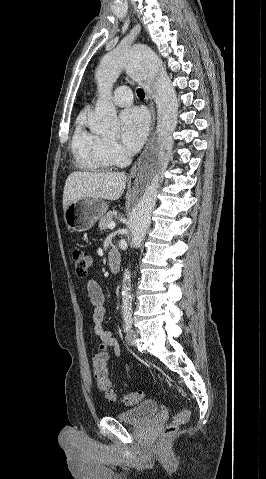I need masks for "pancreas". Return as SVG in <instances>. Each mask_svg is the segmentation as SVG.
Instances as JSON below:
<instances>
[{
    "instance_id": "1",
    "label": "pancreas",
    "mask_w": 266,
    "mask_h": 479,
    "mask_svg": "<svg viewBox=\"0 0 266 479\" xmlns=\"http://www.w3.org/2000/svg\"><path fill=\"white\" fill-rule=\"evenodd\" d=\"M112 219H113V215L111 212H108L107 214L102 216L99 221V229L101 231L105 230L107 228L108 223L111 222Z\"/></svg>"
}]
</instances>
